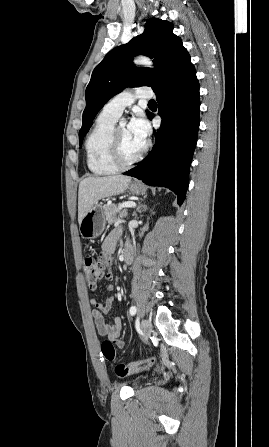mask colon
Segmentation results:
<instances>
[{
    "mask_svg": "<svg viewBox=\"0 0 269 447\" xmlns=\"http://www.w3.org/2000/svg\"><path fill=\"white\" fill-rule=\"evenodd\" d=\"M105 264V255L102 252H94L84 258L82 265L83 274L91 291H95L101 283ZM101 351L108 362H115L117 352L112 343L103 342L101 345ZM153 362L154 360L131 364L119 363L114 367V374L118 378H123L131 373H137L149 369Z\"/></svg>",
    "mask_w": 269,
    "mask_h": 447,
    "instance_id": "colon-1",
    "label": "colon"
}]
</instances>
